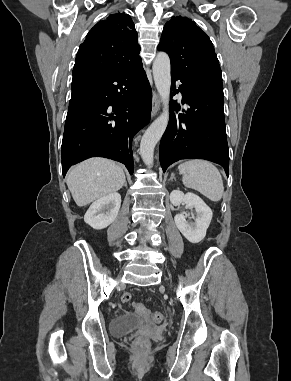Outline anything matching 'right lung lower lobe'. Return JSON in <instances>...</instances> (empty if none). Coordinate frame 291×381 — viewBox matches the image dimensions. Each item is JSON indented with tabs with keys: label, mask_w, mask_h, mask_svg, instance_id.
<instances>
[{
	"label": "right lung lower lobe",
	"mask_w": 291,
	"mask_h": 381,
	"mask_svg": "<svg viewBox=\"0 0 291 381\" xmlns=\"http://www.w3.org/2000/svg\"><path fill=\"white\" fill-rule=\"evenodd\" d=\"M152 91L141 58L103 72L73 70L62 140V173L90 157L119 161L134 171L133 136L150 120Z\"/></svg>",
	"instance_id": "obj_1"
}]
</instances>
